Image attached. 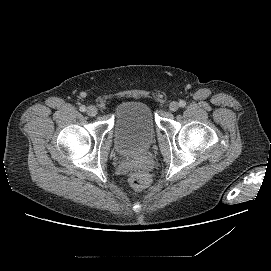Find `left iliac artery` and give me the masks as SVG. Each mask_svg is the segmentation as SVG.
<instances>
[{
	"label": "left iliac artery",
	"instance_id": "44dca946",
	"mask_svg": "<svg viewBox=\"0 0 271 271\" xmlns=\"http://www.w3.org/2000/svg\"><path fill=\"white\" fill-rule=\"evenodd\" d=\"M179 106L180 107H185L186 106V102L184 100H180L179 101Z\"/></svg>",
	"mask_w": 271,
	"mask_h": 271
}]
</instances>
